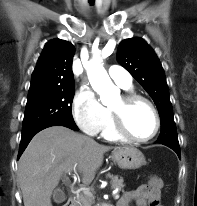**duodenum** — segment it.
I'll use <instances>...</instances> for the list:
<instances>
[{"label": "duodenum", "mask_w": 197, "mask_h": 206, "mask_svg": "<svg viewBox=\"0 0 197 206\" xmlns=\"http://www.w3.org/2000/svg\"><path fill=\"white\" fill-rule=\"evenodd\" d=\"M63 206H76V204L73 199H68Z\"/></svg>", "instance_id": "duodenum-1"}]
</instances>
